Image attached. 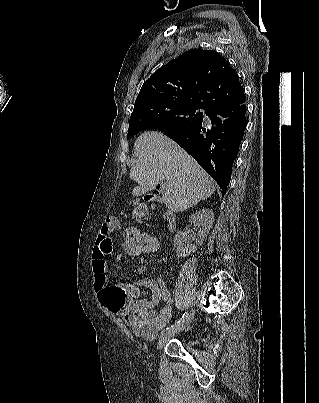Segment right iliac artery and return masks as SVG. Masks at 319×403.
I'll list each match as a JSON object with an SVG mask.
<instances>
[{
    "label": "right iliac artery",
    "mask_w": 319,
    "mask_h": 403,
    "mask_svg": "<svg viewBox=\"0 0 319 403\" xmlns=\"http://www.w3.org/2000/svg\"><path fill=\"white\" fill-rule=\"evenodd\" d=\"M186 316H187L186 313H184V314L182 315V318H181L180 320H178L174 325H171L170 327H167L166 329H164V330L161 332V334H164V333H166V332H168V331L173 330L176 326H178L181 322L184 321V319H185Z\"/></svg>",
    "instance_id": "82829eb1"
}]
</instances>
